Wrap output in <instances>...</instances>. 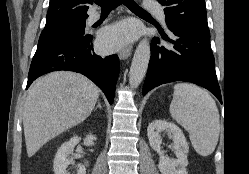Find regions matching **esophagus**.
<instances>
[{
  "label": "esophagus",
  "mask_w": 249,
  "mask_h": 174,
  "mask_svg": "<svg viewBox=\"0 0 249 174\" xmlns=\"http://www.w3.org/2000/svg\"><path fill=\"white\" fill-rule=\"evenodd\" d=\"M131 52H132V46L129 45L119 52V58L127 59L130 56Z\"/></svg>",
  "instance_id": "esophagus-1"
}]
</instances>
